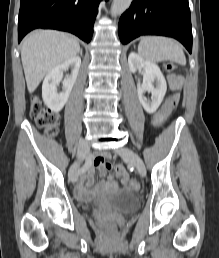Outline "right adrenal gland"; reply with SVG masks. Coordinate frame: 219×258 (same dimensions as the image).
Wrapping results in <instances>:
<instances>
[{"label": "right adrenal gland", "mask_w": 219, "mask_h": 258, "mask_svg": "<svg viewBox=\"0 0 219 258\" xmlns=\"http://www.w3.org/2000/svg\"><path fill=\"white\" fill-rule=\"evenodd\" d=\"M80 55L82 56V49H80Z\"/></svg>", "instance_id": "2a0ac1e0"}]
</instances>
